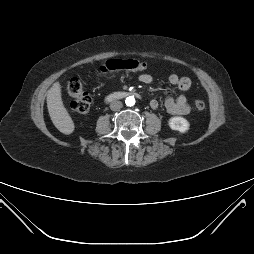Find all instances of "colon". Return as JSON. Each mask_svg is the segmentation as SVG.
<instances>
[{
    "label": "colon",
    "instance_id": "1",
    "mask_svg": "<svg viewBox=\"0 0 254 254\" xmlns=\"http://www.w3.org/2000/svg\"><path fill=\"white\" fill-rule=\"evenodd\" d=\"M148 68V63L137 59H112L108 60L100 70L103 74H111L120 70L142 71ZM67 93L71 97L70 111L78 117L85 116L91 107V97L84 90L78 78H72L67 85ZM195 108L203 111L206 105L201 100H196Z\"/></svg>",
    "mask_w": 254,
    "mask_h": 254
}]
</instances>
